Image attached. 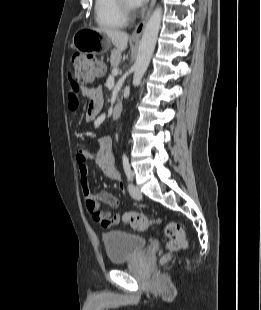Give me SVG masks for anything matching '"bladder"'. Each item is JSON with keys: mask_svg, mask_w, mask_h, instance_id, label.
Segmentation results:
<instances>
[{"mask_svg": "<svg viewBox=\"0 0 261 310\" xmlns=\"http://www.w3.org/2000/svg\"><path fill=\"white\" fill-rule=\"evenodd\" d=\"M103 242L109 261L115 265L134 259L147 245L143 236L124 231L105 234Z\"/></svg>", "mask_w": 261, "mask_h": 310, "instance_id": "31cf9c89", "label": "bladder"}]
</instances>
